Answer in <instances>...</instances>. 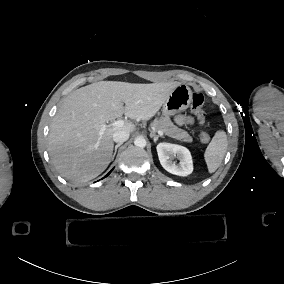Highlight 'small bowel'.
Segmentation results:
<instances>
[{"label": "small bowel", "instance_id": "1", "mask_svg": "<svg viewBox=\"0 0 284 284\" xmlns=\"http://www.w3.org/2000/svg\"><path fill=\"white\" fill-rule=\"evenodd\" d=\"M175 122L179 125L192 124L194 119L188 115H178L175 117Z\"/></svg>", "mask_w": 284, "mask_h": 284}]
</instances>
